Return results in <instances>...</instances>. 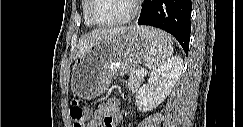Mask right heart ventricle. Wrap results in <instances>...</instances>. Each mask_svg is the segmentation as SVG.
Masks as SVG:
<instances>
[{"label":"right heart ventricle","instance_id":"1","mask_svg":"<svg viewBox=\"0 0 243 127\" xmlns=\"http://www.w3.org/2000/svg\"><path fill=\"white\" fill-rule=\"evenodd\" d=\"M88 7H89V0H84L82 3V13H83L84 24L88 28H93L94 25L88 18Z\"/></svg>","mask_w":243,"mask_h":127}]
</instances>
